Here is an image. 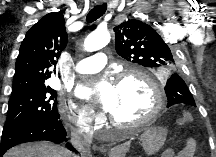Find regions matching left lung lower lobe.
<instances>
[{"mask_svg":"<svg viewBox=\"0 0 216 157\" xmlns=\"http://www.w3.org/2000/svg\"><path fill=\"white\" fill-rule=\"evenodd\" d=\"M175 101H172V102H170L169 104H167V106L168 107H170V106H172V105H175V104H173ZM180 104V103H179Z\"/></svg>","mask_w":216,"mask_h":157,"instance_id":"0a47b994","label":"left lung lower lobe"}]
</instances>
